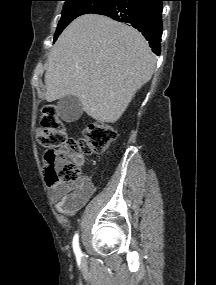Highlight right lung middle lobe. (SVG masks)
Masks as SVG:
<instances>
[{"instance_id": "1", "label": "right lung middle lobe", "mask_w": 216, "mask_h": 285, "mask_svg": "<svg viewBox=\"0 0 216 285\" xmlns=\"http://www.w3.org/2000/svg\"><path fill=\"white\" fill-rule=\"evenodd\" d=\"M65 1L61 19L58 23L54 42L64 28L78 16L94 13L98 9L107 6L115 0H63Z\"/></svg>"}]
</instances>
